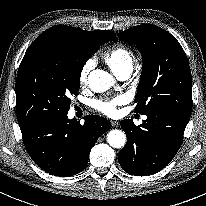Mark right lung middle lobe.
I'll use <instances>...</instances> for the list:
<instances>
[{
    "label": "right lung middle lobe",
    "instance_id": "1",
    "mask_svg": "<svg viewBox=\"0 0 206 206\" xmlns=\"http://www.w3.org/2000/svg\"><path fill=\"white\" fill-rule=\"evenodd\" d=\"M106 41L84 43L56 34H40L26 51L16 79L20 129L67 115L77 95L86 61Z\"/></svg>",
    "mask_w": 206,
    "mask_h": 206
}]
</instances>
